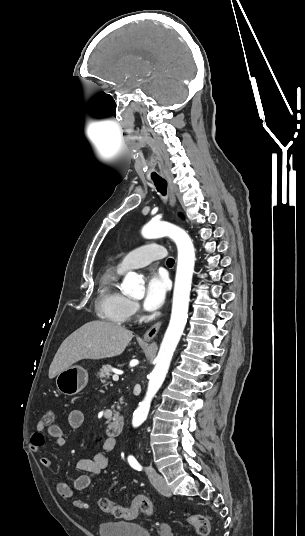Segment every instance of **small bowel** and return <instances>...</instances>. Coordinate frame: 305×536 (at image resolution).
Instances as JSON below:
<instances>
[{"label":"small bowel","instance_id":"obj_1","mask_svg":"<svg viewBox=\"0 0 305 536\" xmlns=\"http://www.w3.org/2000/svg\"><path fill=\"white\" fill-rule=\"evenodd\" d=\"M85 421V415L82 410L74 409L68 415V424L72 429L80 428ZM46 435H49L56 447H62L65 443V436L63 429L57 425V427H35V431L30 437L31 449L34 452L39 451L46 442ZM115 440L112 438H104L101 442L102 452L95 454L91 458H81L75 463L78 470L88 472L91 474H99L105 470L109 465L106 452H110L115 448ZM40 463L43 468L51 469L52 460L48 457H42ZM91 484V478L88 475L79 476L73 483V485H67L66 483L57 484V492L63 498H70L77 492H80L88 488Z\"/></svg>","mask_w":305,"mask_h":536}]
</instances>
